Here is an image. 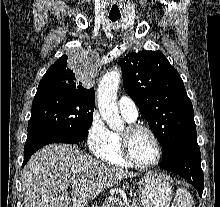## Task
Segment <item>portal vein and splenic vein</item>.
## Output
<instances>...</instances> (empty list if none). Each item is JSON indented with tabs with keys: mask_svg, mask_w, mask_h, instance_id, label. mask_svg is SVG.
<instances>
[{
	"mask_svg": "<svg viewBox=\"0 0 220 207\" xmlns=\"http://www.w3.org/2000/svg\"><path fill=\"white\" fill-rule=\"evenodd\" d=\"M78 183H79L78 180H74V181L72 182L73 185H76V184H78Z\"/></svg>",
	"mask_w": 220,
	"mask_h": 207,
	"instance_id": "1",
	"label": "portal vein and splenic vein"
}]
</instances>
